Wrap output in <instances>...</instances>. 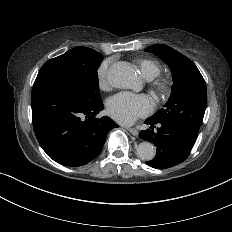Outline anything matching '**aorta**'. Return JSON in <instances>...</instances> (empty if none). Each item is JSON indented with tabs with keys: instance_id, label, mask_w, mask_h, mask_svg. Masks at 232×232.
I'll return each instance as SVG.
<instances>
[{
	"instance_id": "aorta-1",
	"label": "aorta",
	"mask_w": 232,
	"mask_h": 232,
	"mask_svg": "<svg viewBox=\"0 0 232 232\" xmlns=\"http://www.w3.org/2000/svg\"><path fill=\"white\" fill-rule=\"evenodd\" d=\"M107 79L113 87L120 89H134L139 84L136 71L125 62L112 64ZM137 154L142 160L150 161L155 157V146L150 142H142L137 147Z\"/></svg>"
}]
</instances>
